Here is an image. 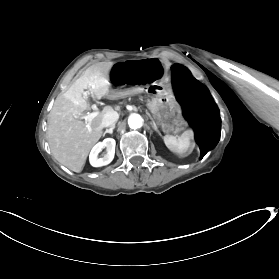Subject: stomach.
<instances>
[{"instance_id": "1", "label": "stomach", "mask_w": 279, "mask_h": 279, "mask_svg": "<svg viewBox=\"0 0 279 279\" xmlns=\"http://www.w3.org/2000/svg\"><path fill=\"white\" fill-rule=\"evenodd\" d=\"M148 110L165 133L179 131L184 125L185 116L176 100L155 96L149 101Z\"/></svg>"}]
</instances>
